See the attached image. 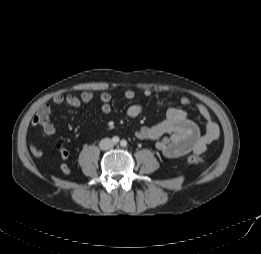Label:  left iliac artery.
I'll use <instances>...</instances> for the list:
<instances>
[{
  "mask_svg": "<svg viewBox=\"0 0 261 254\" xmlns=\"http://www.w3.org/2000/svg\"><path fill=\"white\" fill-rule=\"evenodd\" d=\"M120 145H121L122 147H126V146H127V141H126V140H122V141L120 142Z\"/></svg>",
  "mask_w": 261,
  "mask_h": 254,
  "instance_id": "obj_1",
  "label": "left iliac artery"
}]
</instances>
